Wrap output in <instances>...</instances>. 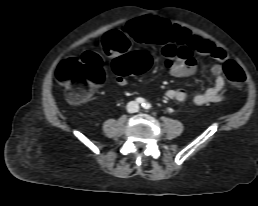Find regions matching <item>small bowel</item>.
Masks as SVG:
<instances>
[{
    "instance_id": "obj_1",
    "label": "small bowel",
    "mask_w": 258,
    "mask_h": 206,
    "mask_svg": "<svg viewBox=\"0 0 258 206\" xmlns=\"http://www.w3.org/2000/svg\"><path fill=\"white\" fill-rule=\"evenodd\" d=\"M131 32L116 30L108 32L102 41L105 53L114 58H120L130 44ZM156 39L163 45L164 72L176 77L190 76L197 69L194 54L208 55L216 63L212 65L210 72L214 76V84L202 93L195 95L192 103L196 106L221 102L224 99L222 89L225 86L222 63L227 60V53L214 43L192 35L189 30L176 25L169 26L156 35ZM116 84L123 87L128 84L124 75L119 74ZM165 97L179 103L187 100V93L182 89H169Z\"/></svg>"
}]
</instances>
